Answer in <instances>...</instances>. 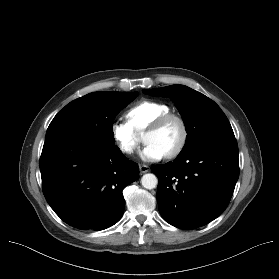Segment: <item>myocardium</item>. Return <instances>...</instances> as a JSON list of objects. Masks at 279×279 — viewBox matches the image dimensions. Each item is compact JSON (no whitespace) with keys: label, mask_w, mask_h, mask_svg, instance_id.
<instances>
[{"label":"myocardium","mask_w":279,"mask_h":279,"mask_svg":"<svg viewBox=\"0 0 279 279\" xmlns=\"http://www.w3.org/2000/svg\"><path fill=\"white\" fill-rule=\"evenodd\" d=\"M170 120H175L179 124L181 136L176 147L169 153L165 154L164 157L167 159H173L179 156L186 147L189 137V130L186 120L180 114L168 112L156 118L146 129V133L158 131Z\"/></svg>","instance_id":"obj_1"}]
</instances>
